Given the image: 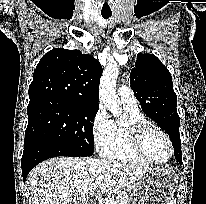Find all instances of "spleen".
<instances>
[{"label":"spleen","mask_w":206,"mask_h":204,"mask_svg":"<svg viewBox=\"0 0 206 204\" xmlns=\"http://www.w3.org/2000/svg\"><path fill=\"white\" fill-rule=\"evenodd\" d=\"M171 204H175V201H172V203Z\"/></svg>","instance_id":"1"}]
</instances>
